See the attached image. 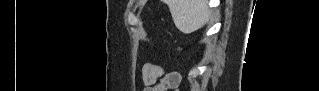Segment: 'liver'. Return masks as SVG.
Returning <instances> with one entry per match:
<instances>
[{"instance_id": "6515ba94", "label": "liver", "mask_w": 319, "mask_h": 91, "mask_svg": "<svg viewBox=\"0 0 319 91\" xmlns=\"http://www.w3.org/2000/svg\"><path fill=\"white\" fill-rule=\"evenodd\" d=\"M176 27L184 33L201 28L207 21V0H167Z\"/></svg>"}]
</instances>
